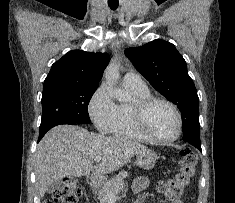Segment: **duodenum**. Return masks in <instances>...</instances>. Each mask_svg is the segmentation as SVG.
Masks as SVG:
<instances>
[{
  "mask_svg": "<svg viewBox=\"0 0 235 203\" xmlns=\"http://www.w3.org/2000/svg\"><path fill=\"white\" fill-rule=\"evenodd\" d=\"M97 178L95 176H89L87 178V184L89 187H95L97 185Z\"/></svg>",
  "mask_w": 235,
  "mask_h": 203,
  "instance_id": "obj_1",
  "label": "duodenum"
}]
</instances>
